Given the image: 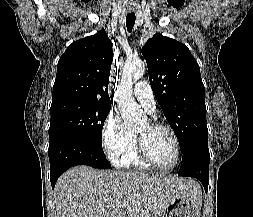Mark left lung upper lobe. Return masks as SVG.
<instances>
[{"label":"left lung upper lobe","mask_w":253,"mask_h":217,"mask_svg":"<svg viewBox=\"0 0 253 217\" xmlns=\"http://www.w3.org/2000/svg\"><path fill=\"white\" fill-rule=\"evenodd\" d=\"M155 97L173 128L181 153L207 143L204 85L200 68L182 43L156 33L142 47Z\"/></svg>","instance_id":"obj_1"}]
</instances>
